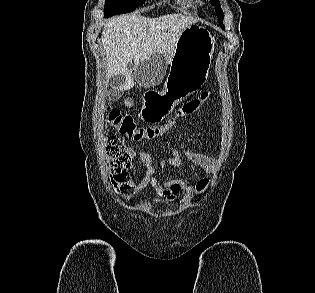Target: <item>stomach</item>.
I'll use <instances>...</instances> for the list:
<instances>
[{"label": "stomach", "mask_w": 315, "mask_h": 293, "mask_svg": "<svg viewBox=\"0 0 315 293\" xmlns=\"http://www.w3.org/2000/svg\"><path fill=\"white\" fill-rule=\"evenodd\" d=\"M213 51L214 38L207 29L195 24L184 29L169 62L170 71L163 90L147 92L143 99V119L161 121L180 101L202 87L208 78ZM134 104L133 99L125 101L126 106Z\"/></svg>", "instance_id": "obj_1"}]
</instances>
